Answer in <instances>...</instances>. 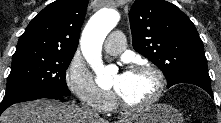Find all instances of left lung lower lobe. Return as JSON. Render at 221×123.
<instances>
[{"label":"left lung lower lobe","instance_id":"obj_1","mask_svg":"<svg viewBox=\"0 0 221 123\" xmlns=\"http://www.w3.org/2000/svg\"><path fill=\"white\" fill-rule=\"evenodd\" d=\"M180 83H189V84L197 85V86L203 88L205 91H207L210 94L211 97H213L210 82L201 81V80H197V79H190V80H184Z\"/></svg>","mask_w":221,"mask_h":123}]
</instances>
